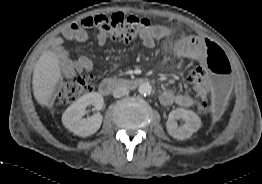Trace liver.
I'll return each instance as SVG.
<instances>
[{"label":"liver","mask_w":262,"mask_h":184,"mask_svg":"<svg viewBox=\"0 0 262 184\" xmlns=\"http://www.w3.org/2000/svg\"><path fill=\"white\" fill-rule=\"evenodd\" d=\"M61 78L58 56L50 50L43 52L34 67L32 79L34 97L40 105H51L56 85Z\"/></svg>","instance_id":"liver-1"}]
</instances>
